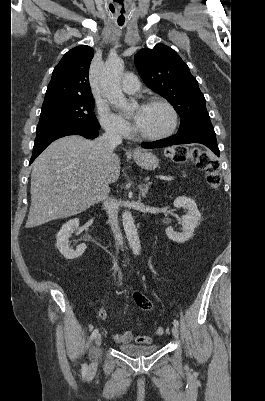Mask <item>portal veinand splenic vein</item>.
Here are the masks:
<instances>
[{"instance_id": "1", "label": "portal vein and splenic vein", "mask_w": 265, "mask_h": 401, "mask_svg": "<svg viewBox=\"0 0 265 401\" xmlns=\"http://www.w3.org/2000/svg\"><path fill=\"white\" fill-rule=\"evenodd\" d=\"M156 180H161V181H174V180H175V177H174V176L160 175V177H156ZM73 188H77V186H73Z\"/></svg>"}]
</instances>
